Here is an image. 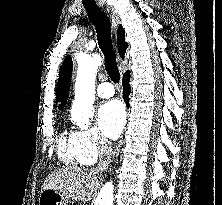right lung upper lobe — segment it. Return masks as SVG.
<instances>
[{"label":"right lung upper lobe","instance_id":"right-lung-upper-lobe-1","mask_svg":"<svg viewBox=\"0 0 222 205\" xmlns=\"http://www.w3.org/2000/svg\"><path fill=\"white\" fill-rule=\"evenodd\" d=\"M124 36H125V30L120 25L118 28L117 43H118L119 53L122 58H124V54L128 46L127 43L125 42ZM71 74H72V59L68 55L65 58L60 68L59 79L57 84L56 101L61 102V104L59 105V109H62L67 102L69 95Z\"/></svg>","mask_w":222,"mask_h":205}]
</instances>
